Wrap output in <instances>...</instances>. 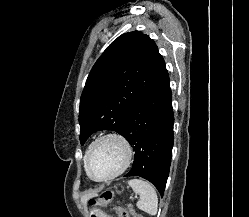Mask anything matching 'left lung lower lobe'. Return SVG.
Segmentation results:
<instances>
[{
	"label": "left lung lower lobe",
	"instance_id": "0a47b994",
	"mask_svg": "<svg viewBox=\"0 0 249 217\" xmlns=\"http://www.w3.org/2000/svg\"><path fill=\"white\" fill-rule=\"evenodd\" d=\"M172 93L166 68L136 102L126 119L123 137L135 151L132 169L164 194L173 147Z\"/></svg>",
	"mask_w": 249,
	"mask_h": 217
}]
</instances>
